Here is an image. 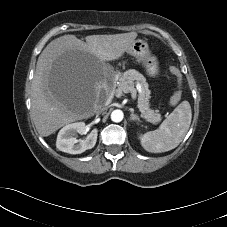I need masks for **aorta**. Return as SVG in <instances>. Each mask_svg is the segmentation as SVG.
<instances>
[{
    "instance_id": "1",
    "label": "aorta",
    "mask_w": 227,
    "mask_h": 227,
    "mask_svg": "<svg viewBox=\"0 0 227 227\" xmlns=\"http://www.w3.org/2000/svg\"><path fill=\"white\" fill-rule=\"evenodd\" d=\"M123 117H124V114L122 110L117 109L111 113V120L113 122H116V123L121 122L123 120Z\"/></svg>"
}]
</instances>
